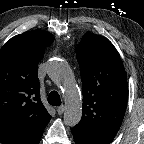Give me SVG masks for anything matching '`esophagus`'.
Here are the masks:
<instances>
[{
	"instance_id": "obj_1",
	"label": "esophagus",
	"mask_w": 144,
	"mask_h": 144,
	"mask_svg": "<svg viewBox=\"0 0 144 144\" xmlns=\"http://www.w3.org/2000/svg\"><path fill=\"white\" fill-rule=\"evenodd\" d=\"M64 111H65V106H63V105H61L57 108V113L59 115H62Z\"/></svg>"
}]
</instances>
